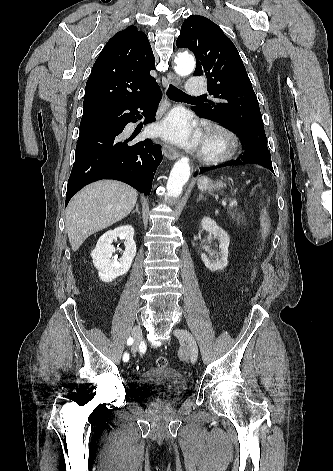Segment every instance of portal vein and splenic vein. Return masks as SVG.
Here are the masks:
<instances>
[{"label": "portal vein and splenic vein", "instance_id": "1", "mask_svg": "<svg viewBox=\"0 0 333 471\" xmlns=\"http://www.w3.org/2000/svg\"><path fill=\"white\" fill-rule=\"evenodd\" d=\"M235 206H237V201L235 199L230 200L229 207H235Z\"/></svg>", "mask_w": 333, "mask_h": 471}]
</instances>
